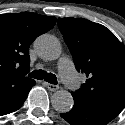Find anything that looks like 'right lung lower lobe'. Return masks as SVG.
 <instances>
[{
    "label": "right lung lower lobe",
    "mask_w": 125,
    "mask_h": 125,
    "mask_svg": "<svg viewBox=\"0 0 125 125\" xmlns=\"http://www.w3.org/2000/svg\"><path fill=\"white\" fill-rule=\"evenodd\" d=\"M34 84L35 81L23 86L10 87L5 91L0 92V116L18 110L24 103Z\"/></svg>",
    "instance_id": "1"
}]
</instances>
